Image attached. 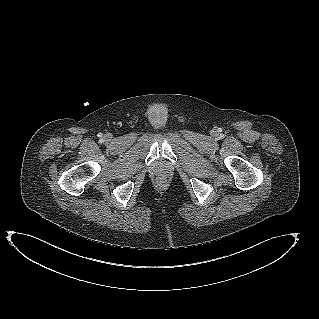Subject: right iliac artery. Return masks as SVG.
<instances>
[{"instance_id": "obj_1", "label": "right iliac artery", "mask_w": 319, "mask_h": 319, "mask_svg": "<svg viewBox=\"0 0 319 319\" xmlns=\"http://www.w3.org/2000/svg\"><path fill=\"white\" fill-rule=\"evenodd\" d=\"M98 136H99V137H102V134L100 133Z\"/></svg>"}]
</instances>
